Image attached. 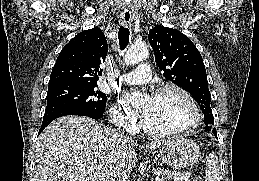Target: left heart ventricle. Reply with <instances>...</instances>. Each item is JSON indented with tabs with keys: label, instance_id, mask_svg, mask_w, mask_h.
<instances>
[{
	"label": "left heart ventricle",
	"instance_id": "1",
	"mask_svg": "<svg viewBox=\"0 0 259 181\" xmlns=\"http://www.w3.org/2000/svg\"><path fill=\"white\" fill-rule=\"evenodd\" d=\"M192 112L185 99L174 91L152 97L151 105L143 116L145 123L159 131L179 130L189 125Z\"/></svg>",
	"mask_w": 259,
	"mask_h": 181
}]
</instances>
